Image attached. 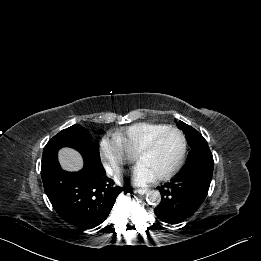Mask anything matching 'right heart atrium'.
<instances>
[{
    "instance_id": "d8ad5b80",
    "label": "right heart atrium",
    "mask_w": 261,
    "mask_h": 261,
    "mask_svg": "<svg viewBox=\"0 0 261 261\" xmlns=\"http://www.w3.org/2000/svg\"><path fill=\"white\" fill-rule=\"evenodd\" d=\"M100 153L107 172L111 175L119 174L123 167L134 159L117 139L104 137L100 142Z\"/></svg>"
}]
</instances>
